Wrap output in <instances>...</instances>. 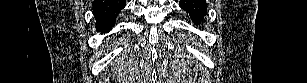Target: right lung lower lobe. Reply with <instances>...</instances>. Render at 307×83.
<instances>
[{
	"label": "right lung lower lobe",
	"instance_id": "obj_1",
	"mask_svg": "<svg viewBox=\"0 0 307 83\" xmlns=\"http://www.w3.org/2000/svg\"><path fill=\"white\" fill-rule=\"evenodd\" d=\"M125 6V0H95L93 10L96 30L102 34L109 32L115 25L117 15Z\"/></svg>",
	"mask_w": 307,
	"mask_h": 83
}]
</instances>
